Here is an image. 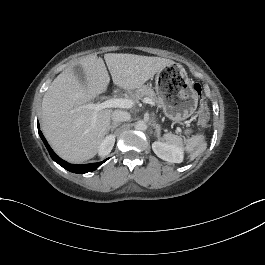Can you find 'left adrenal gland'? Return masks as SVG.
<instances>
[{
    "instance_id": "1",
    "label": "left adrenal gland",
    "mask_w": 265,
    "mask_h": 265,
    "mask_svg": "<svg viewBox=\"0 0 265 265\" xmlns=\"http://www.w3.org/2000/svg\"><path fill=\"white\" fill-rule=\"evenodd\" d=\"M154 136L157 138V140H159V137H160V127H159L158 124L156 125V129H155Z\"/></svg>"
}]
</instances>
